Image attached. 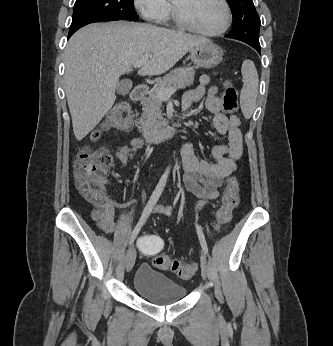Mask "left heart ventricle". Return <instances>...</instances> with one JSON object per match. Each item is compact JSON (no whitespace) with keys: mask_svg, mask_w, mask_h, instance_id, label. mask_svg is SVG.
<instances>
[{"mask_svg":"<svg viewBox=\"0 0 333 346\" xmlns=\"http://www.w3.org/2000/svg\"><path fill=\"white\" fill-rule=\"evenodd\" d=\"M183 17L203 30L219 29L225 21L220 0H172Z\"/></svg>","mask_w":333,"mask_h":346,"instance_id":"obj_1","label":"left heart ventricle"}]
</instances>
